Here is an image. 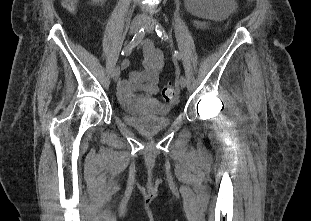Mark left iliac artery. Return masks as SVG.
<instances>
[{
    "mask_svg": "<svg viewBox=\"0 0 311 221\" xmlns=\"http://www.w3.org/2000/svg\"><path fill=\"white\" fill-rule=\"evenodd\" d=\"M155 30H156L157 35H158L162 40H164V41H167V40H168V35H167V33H166L164 27H163L159 22H157V23L155 24ZM174 55H175V57H176L177 59H181V56H180V54H179L178 51H174Z\"/></svg>",
    "mask_w": 311,
    "mask_h": 221,
    "instance_id": "left-iliac-artery-1",
    "label": "left iliac artery"
}]
</instances>
